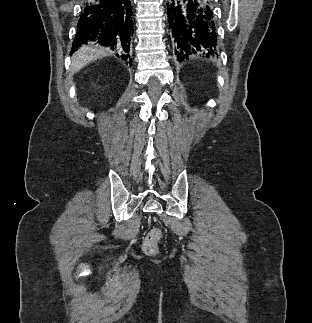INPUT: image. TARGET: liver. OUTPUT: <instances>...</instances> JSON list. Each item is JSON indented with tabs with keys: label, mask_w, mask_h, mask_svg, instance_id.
<instances>
[{
	"label": "liver",
	"mask_w": 312,
	"mask_h": 323,
	"mask_svg": "<svg viewBox=\"0 0 312 323\" xmlns=\"http://www.w3.org/2000/svg\"><path fill=\"white\" fill-rule=\"evenodd\" d=\"M108 48H89V46H82L80 50H77L72 56L71 72H79L82 68H85L90 62H94L100 56H106Z\"/></svg>",
	"instance_id": "liver-1"
}]
</instances>
